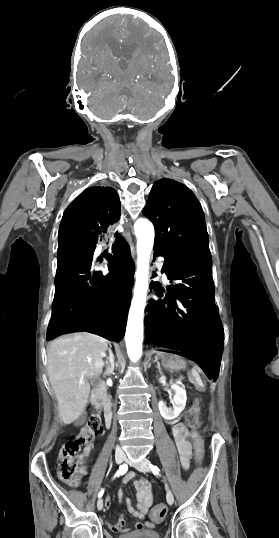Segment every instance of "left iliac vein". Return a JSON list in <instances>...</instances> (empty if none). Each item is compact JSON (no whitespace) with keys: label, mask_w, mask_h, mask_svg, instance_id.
Segmentation results:
<instances>
[{"label":"left iliac vein","mask_w":279,"mask_h":538,"mask_svg":"<svg viewBox=\"0 0 279 538\" xmlns=\"http://www.w3.org/2000/svg\"><path fill=\"white\" fill-rule=\"evenodd\" d=\"M126 462L129 464H132L137 470L140 472H149L150 471V461L146 458L142 459L139 463H133L129 459H126ZM166 499L169 505H172L174 503V496L170 490H167Z\"/></svg>","instance_id":"left-iliac-vein-1"}]
</instances>
